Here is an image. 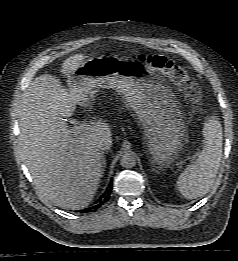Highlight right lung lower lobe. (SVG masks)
Returning <instances> with one entry per match:
<instances>
[{
    "label": "right lung lower lobe",
    "mask_w": 238,
    "mask_h": 261,
    "mask_svg": "<svg viewBox=\"0 0 238 261\" xmlns=\"http://www.w3.org/2000/svg\"><path fill=\"white\" fill-rule=\"evenodd\" d=\"M109 197H110V192H107V194L105 195L104 199L102 201H100V203L97 206L91 207L90 209H93V208H96L98 206H101Z\"/></svg>",
    "instance_id": "obj_1"
}]
</instances>
